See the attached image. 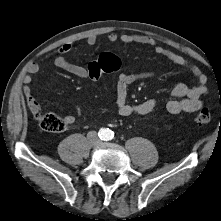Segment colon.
<instances>
[{
    "instance_id": "1",
    "label": "colon",
    "mask_w": 221,
    "mask_h": 221,
    "mask_svg": "<svg viewBox=\"0 0 221 221\" xmlns=\"http://www.w3.org/2000/svg\"><path fill=\"white\" fill-rule=\"evenodd\" d=\"M121 67V60L111 53H103L96 61L91 62L88 67L90 79L96 80L103 73L116 72ZM213 115L208 108H202L196 114L194 120L198 124H208L212 121ZM37 119L41 128L47 132L59 133L67 129V124L63 118L52 112H42L37 114Z\"/></svg>"
}]
</instances>
